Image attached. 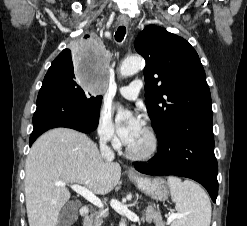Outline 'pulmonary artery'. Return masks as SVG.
<instances>
[{
    "label": "pulmonary artery",
    "mask_w": 247,
    "mask_h": 226,
    "mask_svg": "<svg viewBox=\"0 0 247 226\" xmlns=\"http://www.w3.org/2000/svg\"><path fill=\"white\" fill-rule=\"evenodd\" d=\"M141 88H142V81L136 79L127 86L119 87L118 91L124 98L129 100H134L138 97Z\"/></svg>",
    "instance_id": "pulmonary-artery-1"
}]
</instances>
